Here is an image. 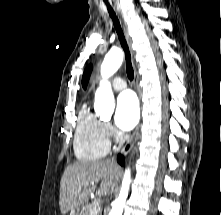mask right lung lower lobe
Here are the masks:
<instances>
[{"mask_svg": "<svg viewBox=\"0 0 221 215\" xmlns=\"http://www.w3.org/2000/svg\"><path fill=\"white\" fill-rule=\"evenodd\" d=\"M117 160H118L119 164L124 165V158H123V156L119 155Z\"/></svg>", "mask_w": 221, "mask_h": 215, "instance_id": "obj_1", "label": "right lung lower lobe"}]
</instances>
